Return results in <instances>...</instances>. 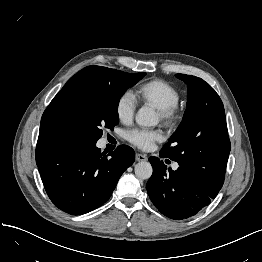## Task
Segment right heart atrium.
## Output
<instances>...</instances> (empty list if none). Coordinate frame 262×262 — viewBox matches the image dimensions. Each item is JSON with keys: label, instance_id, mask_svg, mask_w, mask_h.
Here are the masks:
<instances>
[{"label": "right heart atrium", "instance_id": "d8ad5b80", "mask_svg": "<svg viewBox=\"0 0 262 262\" xmlns=\"http://www.w3.org/2000/svg\"><path fill=\"white\" fill-rule=\"evenodd\" d=\"M137 102L130 92L123 93L117 100L115 111L122 123H129L134 116Z\"/></svg>", "mask_w": 262, "mask_h": 262}]
</instances>
